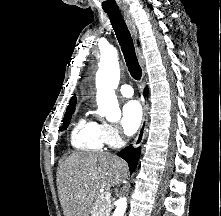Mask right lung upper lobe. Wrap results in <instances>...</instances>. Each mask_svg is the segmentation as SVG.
<instances>
[{"label": "right lung upper lobe", "mask_w": 221, "mask_h": 216, "mask_svg": "<svg viewBox=\"0 0 221 216\" xmlns=\"http://www.w3.org/2000/svg\"><path fill=\"white\" fill-rule=\"evenodd\" d=\"M75 105H76V97L73 96L69 102L68 107H67V113L74 112Z\"/></svg>", "instance_id": "1"}]
</instances>
